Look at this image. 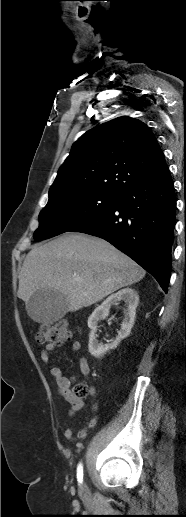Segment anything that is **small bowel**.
Returning <instances> with one entry per match:
<instances>
[{"instance_id": "1", "label": "small bowel", "mask_w": 186, "mask_h": 517, "mask_svg": "<svg viewBox=\"0 0 186 517\" xmlns=\"http://www.w3.org/2000/svg\"><path fill=\"white\" fill-rule=\"evenodd\" d=\"M70 346L73 351H79L81 348L80 342L77 340H72V339H70ZM54 349H55L54 344H48L44 348L39 350V357L43 363H45V364L49 363L50 353ZM79 368H80L81 374L85 378H87L89 376L90 367H89V363H88V360L86 357L83 356L79 359ZM51 375L57 385V390H58L59 395L62 396L63 398H65L71 404V407L68 410L67 415L69 417L74 416L78 411H80L84 408V406H85L84 402L81 399H78L73 396V394L71 392L70 381L63 375L60 368L53 366L51 368ZM97 409H98V406L94 405L93 411L96 412ZM96 424H97L96 415H93V416L87 418L84 423V426L78 430L77 438L84 439L87 435L88 429L95 427ZM73 433H74L73 427H68L64 431V436L66 439L73 441L74 440Z\"/></svg>"}]
</instances>
